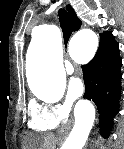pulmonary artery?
Listing matches in <instances>:
<instances>
[{"instance_id":"obj_1","label":"pulmonary artery","mask_w":124,"mask_h":149,"mask_svg":"<svg viewBox=\"0 0 124 149\" xmlns=\"http://www.w3.org/2000/svg\"><path fill=\"white\" fill-rule=\"evenodd\" d=\"M65 68L67 73H72L74 71V67L70 61H66Z\"/></svg>"}]
</instances>
